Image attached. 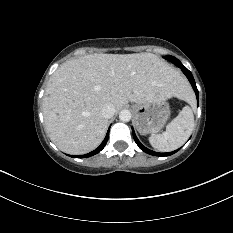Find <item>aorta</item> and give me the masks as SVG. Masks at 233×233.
<instances>
[{"label":"aorta","mask_w":233,"mask_h":233,"mask_svg":"<svg viewBox=\"0 0 233 233\" xmlns=\"http://www.w3.org/2000/svg\"><path fill=\"white\" fill-rule=\"evenodd\" d=\"M119 119L122 122H128L131 120V112L127 109L121 110L119 113Z\"/></svg>","instance_id":"aorta-1"}]
</instances>
